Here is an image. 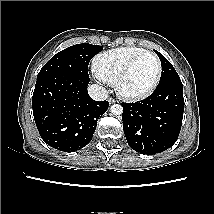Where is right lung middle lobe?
<instances>
[{
  "label": "right lung middle lobe",
  "instance_id": "obj_1",
  "mask_svg": "<svg viewBox=\"0 0 214 214\" xmlns=\"http://www.w3.org/2000/svg\"><path fill=\"white\" fill-rule=\"evenodd\" d=\"M102 46L76 44L54 55L40 70L37 79L55 73H66L89 78L88 64L100 51Z\"/></svg>",
  "mask_w": 214,
  "mask_h": 214
}]
</instances>
